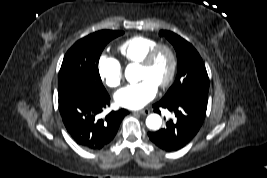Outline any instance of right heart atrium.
<instances>
[{"label":"right heart atrium","mask_w":267,"mask_h":178,"mask_svg":"<svg viewBox=\"0 0 267 178\" xmlns=\"http://www.w3.org/2000/svg\"><path fill=\"white\" fill-rule=\"evenodd\" d=\"M98 73L103 83L109 88L118 87L123 80L120 62L107 54H102L98 60Z\"/></svg>","instance_id":"d8ad5b80"}]
</instances>
